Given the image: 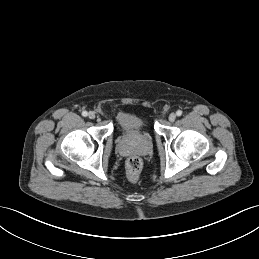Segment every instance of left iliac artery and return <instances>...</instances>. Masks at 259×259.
<instances>
[{
    "instance_id": "1",
    "label": "left iliac artery",
    "mask_w": 259,
    "mask_h": 259,
    "mask_svg": "<svg viewBox=\"0 0 259 259\" xmlns=\"http://www.w3.org/2000/svg\"><path fill=\"white\" fill-rule=\"evenodd\" d=\"M176 115H177V116H181V115H182V111H181V110H178V111L176 112Z\"/></svg>"
}]
</instances>
